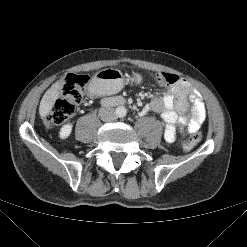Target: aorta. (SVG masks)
<instances>
[{"label": "aorta", "instance_id": "aorta-1", "mask_svg": "<svg viewBox=\"0 0 247 247\" xmlns=\"http://www.w3.org/2000/svg\"><path fill=\"white\" fill-rule=\"evenodd\" d=\"M116 116L119 118H123L127 114V109L124 106H118L115 110Z\"/></svg>", "mask_w": 247, "mask_h": 247}]
</instances>
